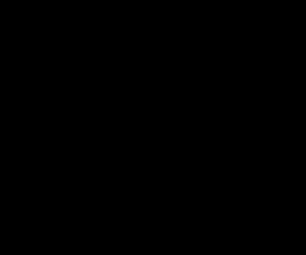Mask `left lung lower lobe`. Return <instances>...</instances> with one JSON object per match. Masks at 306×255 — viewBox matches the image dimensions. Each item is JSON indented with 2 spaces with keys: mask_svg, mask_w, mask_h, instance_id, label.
Here are the masks:
<instances>
[{
  "mask_svg": "<svg viewBox=\"0 0 306 255\" xmlns=\"http://www.w3.org/2000/svg\"><path fill=\"white\" fill-rule=\"evenodd\" d=\"M221 191V181L206 171H184L163 190L166 205L179 215L205 211Z\"/></svg>",
  "mask_w": 306,
  "mask_h": 255,
  "instance_id": "0a47b994",
  "label": "left lung lower lobe"
}]
</instances>
